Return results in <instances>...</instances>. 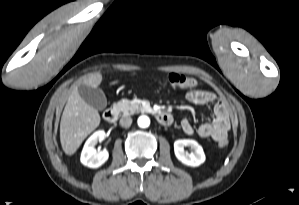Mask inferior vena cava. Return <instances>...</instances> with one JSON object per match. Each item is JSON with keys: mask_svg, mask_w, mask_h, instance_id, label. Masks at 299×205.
Wrapping results in <instances>:
<instances>
[{"mask_svg": "<svg viewBox=\"0 0 299 205\" xmlns=\"http://www.w3.org/2000/svg\"><path fill=\"white\" fill-rule=\"evenodd\" d=\"M120 125L122 127L128 128L131 126L132 124V118L128 117V116H123L120 121H119Z\"/></svg>", "mask_w": 299, "mask_h": 205, "instance_id": "obj_1", "label": "inferior vena cava"}]
</instances>
